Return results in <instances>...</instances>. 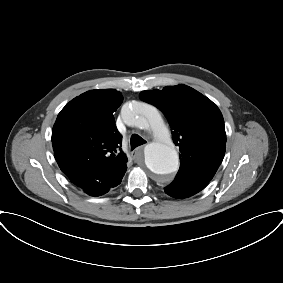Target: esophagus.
<instances>
[{
  "label": "esophagus",
  "mask_w": 283,
  "mask_h": 283,
  "mask_svg": "<svg viewBox=\"0 0 283 283\" xmlns=\"http://www.w3.org/2000/svg\"><path fill=\"white\" fill-rule=\"evenodd\" d=\"M142 151H143V146L138 147L137 149L132 151L131 157L133 158V160L137 161L139 156L141 155Z\"/></svg>",
  "instance_id": "obj_1"
}]
</instances>
